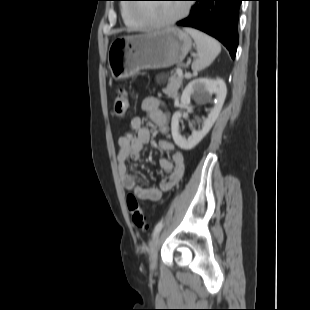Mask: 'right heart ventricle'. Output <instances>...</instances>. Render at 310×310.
Wrapping results in <instances>:
<instances>
[{
  "instance_id": "right-heart-ventricle-1",
  "label": "right heart ventricle",
  "mask_w": 310,
  "mask_h": 310,
  "mask_svg": "<svg viewBox=\"0 0 310 310\" xmlns=\"http://www.w3.org/2000/svg\"><path fill=\"white\" fill-rule=\"evenodd\" d=\"M129 4H122L121 5V16L125 25L131 29H140L145 27L140 21L134 19L130 14V7Z\"/></svg>"
}]
</instances>
